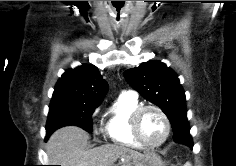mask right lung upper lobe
Wrapping results in <instances>:
<instances>
[{"label":"right lung upper lobe","mask_w":236,"mask_h":166,"mask_svg":"<svg viewBox=\"0 0 236 166\" xmlns=\"http://www.w3.org/2000/svg\"><path fill=\"white\" fill-rule=\"evenodd\" d=\"M108 84L94 65L66 70L58 80L51 101L71 100L97 104L103 100Z\"/></svg>","instance_id":"cb5924a9"}]
</instances>
